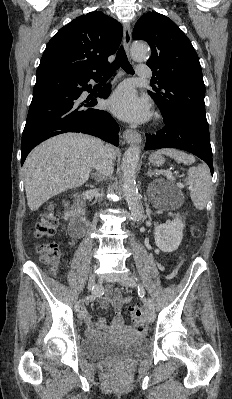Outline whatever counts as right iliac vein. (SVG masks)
Returning a JSON list of instances; mask_svg holds the SVG:
<instances>
[{"instance_id": "obj_1", "label": "right iliac vein", "mask_w": 232, "mask_h": 399, "mask_svg": "<svg viewBox=\"0 0 232 399\" xmlns=\"http://www.w3.org/2000/svg\"><path fill=\"white\" fill-rule=\"evenodd\" d=\"M96 283V277L94 275H91L88 280V288H91L92 285H95ZM78 319H85V312L84 311H79L78 312Z\"/></svg>"}]
</instances>
